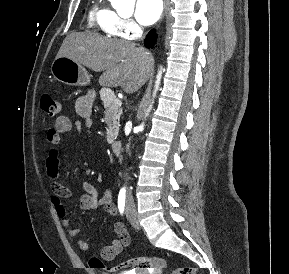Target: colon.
Returning a JSON list of instances; mask_svg holds the SVG:
<instances>
[{
    "label": "colon",
    "instance_id": "1",
    "mask_svg": "<svg viewBox=\"0 0 289 274\" xmlns=\"http://www.w3.org/2000/svg\"><path fill=\"white\" fill-rule=\"evenodd\" d=\"M40 108L50 117L59 114L61 104L50 95H43L40 99ZM91 268L103 270L105 272L127 271H159L167 266V262L160 258L136 257L123 261L115 266H105L100 258L91 256L89 258ZM172 274H195V268L190 266L177 267Z\"/></svg>",
    "mask_w": 289,
    "mask_h": 274
}]
</instances>
